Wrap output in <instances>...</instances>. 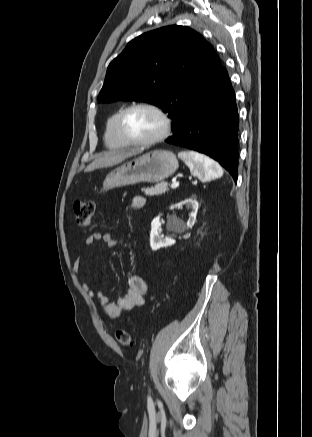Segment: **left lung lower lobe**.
<instances>
[{
  "label": "left lung lower lobe",
  "mask_w": 312,
  "mask_h": 437,
  "mask_svg": "<svg viewBox=\"0 0 312 437\" xmlns=\"http://www.w3.org/2000/svg\"><path fill=\"white\" fill-rule=\"evenodd\" d=\"M238 111L227 71L194 99L167 143L204 153L218 161L237 181Z\"/></svg>",
  "instance_id": "obj_1"
}]
</instances>
